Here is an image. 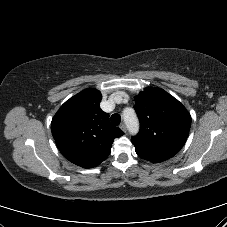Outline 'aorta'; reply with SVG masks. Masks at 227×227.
Segmentation results:
<instances>
[{"label": "aorta", "mask_w": 227, "mask_h": 227, "mask_svg": "<svg viewBox=\"0 0 227 227\" xmlns=\"http://www.w3.org/2000/svg\"><path fill=\"white\" fill-rule=\"evenodd\" d=\"M124 122L131 134H136L139 130V121L132 108H126L123 111Z\"/></svg>", "instance_id": "762f6f07"}]
</instances>
